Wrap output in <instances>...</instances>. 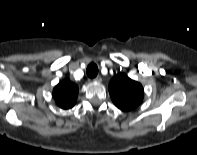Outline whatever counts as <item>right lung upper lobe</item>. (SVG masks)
Returning <instances> with one entry per match:
<instances>
[{"label": "right lung upper lobe", "instance_id": "1", "mask_svg": "<svg viewBox=\"0 0 197 155\" xmlns=\"http://www.w3.org/2000/svg\"><path fill=\"white\" fill-rule=\"evenodd\" d=\"M78 95V86L69 80H64L55 86L53 97L62 109L72 108Z\"/></svg>", "mask_w": 197, "mask_h": 155}]
</instances>
